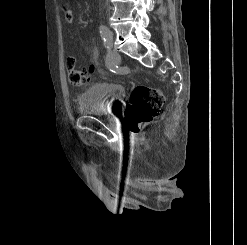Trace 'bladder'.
Returning <instances> with one entry per match:
<instances>
[{"label":"bladder","instance_id":"bladder-1","mask_svg":"<svg viewBox=\"0 0 247 245\" xmlns=\"http://www.w3.org/2000/svg\"><path fill=\"white\" fill-rule=\"evenodd\" d=\"M125 88L112 82H94L78 96V110L83 115H105L120 109Z\"/></svg>","mask_w":247,"mask_h":245}]
</instances>
